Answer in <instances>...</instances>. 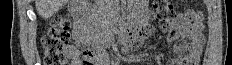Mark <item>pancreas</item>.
I'll use <instances>...</instances> for the list:
<instances>
[{
	"instance_id": "cf45deb5",
	"label": "pancreas",
	"mask_w": 232,
	"mask_h": 65,
	"mask_svg": "<svg viewBox=\"0 0 232 65\" xmlns=\"http://www.w3.org/2000/svg\"><path fill=\"white\" fill-rule=\"evenodd\" d=\"M95 25L100 26V24H99V23H97V22L95 23Z\"/></svg>"
}]
</instances>
